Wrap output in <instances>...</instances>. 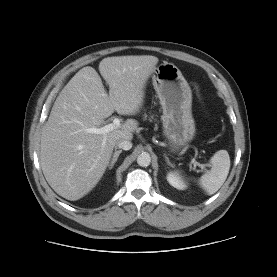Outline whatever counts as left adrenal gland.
<instances>
[{
  "label": "left adrenal gland",
  "mask_w": 277,
  "mask_h": 277,
  "mask_svg": "<svg viewBox=\"0 0 277 277\" xmlns=\"http://www.w3.org/2000/svg\"><path fill=\"white\" fill-rule=\"evenodd\" d=\"M164 157L166 159V162L169 166L174 167L173 164L170 162L169 158L164 154Z\"/></svg>",
  "instance_id": "left-adrenal-gland-1"
}]
</instances>
